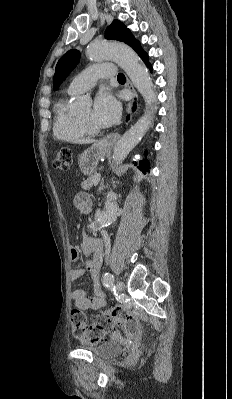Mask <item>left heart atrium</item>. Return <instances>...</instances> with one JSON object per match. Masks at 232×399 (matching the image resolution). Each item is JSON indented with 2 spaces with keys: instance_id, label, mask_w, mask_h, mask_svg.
Segmentation results:
<instances>
[{
  "instance_id": "left-heart-atrium-1",
  "label": "left heart atrium",
  "mask_w": 232,
  "mask_h": 399,
  "mask_svg": "<svg viewBox=\"0 0 232 399\" xmlns=\"http://www.w3.org/2000/svg\"><path fill=\"white\" fill-rule=\"evenodd\" d=\"M121 115V106L118 100L109 93L100 94L94 103L91 117L94 122L103 128L112 126Z\"/></svg>"
}]
</instances>
